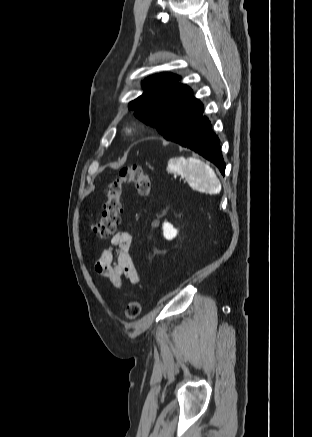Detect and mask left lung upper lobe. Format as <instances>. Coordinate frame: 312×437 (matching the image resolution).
Here are the masks:
<instances>
[{
	"mask_svg": "<svg viewBox=\"0 0 312 437\" xmlns=\"http://www.w3.org/2000/svg\"><path fill=\"white\" fill-rule=\"evenodd\" d=\"M172 73L152 75L144 80L145 92L129 103L135 116L155 127L169 141H174L203 111V104L193 98L192 90L178 84Z\"/></svg>",
	"mask_w": 312,
	"mask_h": 437,
	"instance_id": "left-lung-upper-lobe-1",
	"label": "left lung upper lobe"
}]
</instances>
